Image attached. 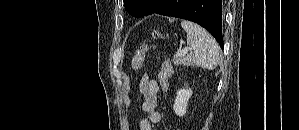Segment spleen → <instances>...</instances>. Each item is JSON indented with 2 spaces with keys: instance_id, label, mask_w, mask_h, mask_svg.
Wrapping results in <instances>:
<instances>
[{
  "instance_id": "3e777b00",
  "label": "spleen",
  "mask_w": 299,
  "mask_h": 130,
  "mask_svg": "<svg viewBox=\"0 0 299 130\" xmlns=\"http://www.w3.org/2000/svg\"><path fill=\"white\" fill-rule=\"evenodd\" d=\"M181 26L187 32V45L193 49V62L198 67L214 70L219 63V46L215 39L193 22L184 20Z\"/></svg>"
}]
</instances>
